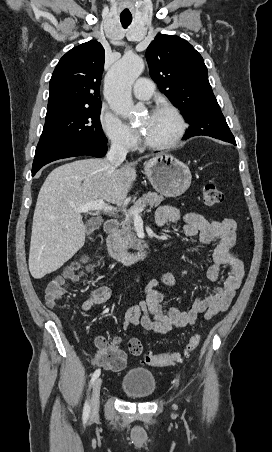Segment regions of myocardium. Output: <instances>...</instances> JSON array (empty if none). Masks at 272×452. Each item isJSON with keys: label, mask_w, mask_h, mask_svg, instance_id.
Here are the masks:
<instances>
[{"label": "myocardium", "mask_w": 272, "mask_h": 452, "mask_svg": "<svg viewBox=\"0 0 272 452\" xmlns=\"http://www.w3.org/2000/svg\"><path fill=\"white\" fill-rule=\"evenodd\" d=\"M159 112L167 113L175 120L176 130H175L173 136L169 140L162 142V143H151V142L146 141L142 137L141 138L142 146H144L148 149H152V150H166V149H170V148L176 146L183 138V136L186 132V128H187L184 117L178 111V109H176L174 106H171V105L155 106L152 109L151 114H155V113H159Z\"/></svg>", "instance_id": "f54148a6"}]
</instances>
